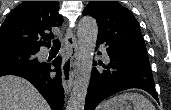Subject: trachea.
Wrapping results in <instances>:
<instances>
[{
    "instance_id": "obj_1",
    "label": "trachea",
    "mask_w": 171,
    "mask_h": 110,
    "mask_svg": "<svg viewBox=\"0 0 171 110\" xmlns=\"http://www.w3.org/2000/svg\"><path fill=\"white\" fill-rule=\"evenodd\" d=\"M60 46H61V44H60V41L59 40H54L53 41V49H59L60 48Z\"/></svg>"
}]
</instances>
